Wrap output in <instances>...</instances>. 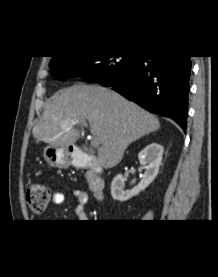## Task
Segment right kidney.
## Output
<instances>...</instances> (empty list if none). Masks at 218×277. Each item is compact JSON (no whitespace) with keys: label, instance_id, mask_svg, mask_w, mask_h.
Returning a JSON list of instances; mask_svg holds the SVG:
<instances>
[{"label":"right kidney","instance_id":"obj_1","mask_svg":"<svg viewBox=\"0 0 218 277\" xmlns=\"http://www.w3.org/2000/svg\"><path fill=\"white\" fill-rule=\"evenodd\" d=\"M164 148L160 144L151 143L144 148L138 155L141 165L145 168V173L140 183L132 190L124 193V181L122 174H118L112 181L111 195L114 200L126 201L131 197L138 195L142 190L147 188L151 182L156 178L159 167L162 162Z\"/></svg>","mask_w":218,"mask_h":277}]
</instances>
